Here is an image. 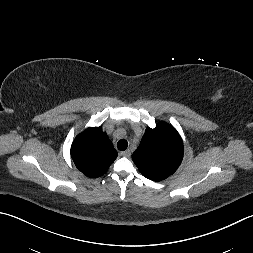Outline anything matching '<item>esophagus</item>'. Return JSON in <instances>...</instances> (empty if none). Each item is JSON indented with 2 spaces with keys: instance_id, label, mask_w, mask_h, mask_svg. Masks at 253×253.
Segmentation results:
<instances>
[{
  "instance_id": "obj_1",
  "label": "esophagus",
  "mask_w": 253,
  "mask_h": 253,
  "mask_svg": "<svg viewBox=\"0 0 253 253\" xmlns=\"http://www.w3.org/2000/svg\"><path fill=\"white\" fill-rule=\"evenodd\" d=\"M120 155L123 157H129L131 155V153L129 150H126V151L121 152Z\"/></svg>"
}]
</instances>
